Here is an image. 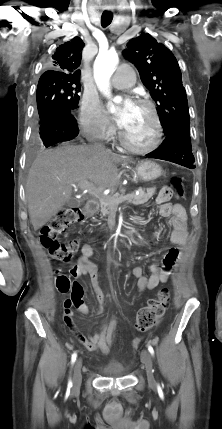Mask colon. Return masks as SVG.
<instances>
[{"mask_svg": "<svg viewBox=\"0 0 222 429\" xmlns=\"http://www.w3.org/2000/svg\"><path fill=\"white\" fill-rule=\"evenodd\" d=\"M160 195L166 200L172 197L183 198L184 187L181 178L173 177L170 186L164 187L160 191ZM84 217L85 213L81 208H65L42 227L40 243L52 259L69 262L73 258L78 248L77 242H61L58 237L66 228L81 222ZM56 285L61 293H66L70 290L76 292L81 290L79 283L71 282L69 277L63 274L57 277ZM170 298V291L167 288H163L159 291L157 298L150 299L147 305L137 313L136 329L139 332H146L153 328L167 311Z\"/></svg>", "mask_w": 222, "mask_h": 429, "instance_id": "colon-1", "label": "colon"}]
</instances>
